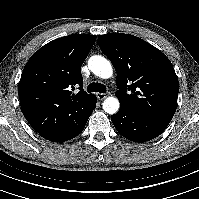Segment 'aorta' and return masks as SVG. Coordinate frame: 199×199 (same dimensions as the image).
Masks as SVG:
<instances>
[{
    "label": "aorta",
    "instance_id": "obj_1",
    "mask_svg": "<svg viewBox=\"0 0 199 199\" xmlns=\"http://www.w3.org/2000/svg\"><path fill=\"white\" fill-rule=\"evenodd\" d=\"M88 66L96 76L108 79L113 74L111 63L104 57L95 55L88 61ZM120 107L119 100L116 97H108L103 102V110L108 114H115Z\"/></svg>",
    "mask_w": 199,
    "mask_h": 199
}]
</instances>
